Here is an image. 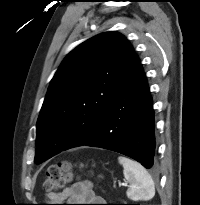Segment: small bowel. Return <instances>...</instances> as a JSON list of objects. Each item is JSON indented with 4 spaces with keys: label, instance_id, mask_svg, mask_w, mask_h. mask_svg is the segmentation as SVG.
<instances>
[{
    "label": "small bowel",
    "instance_id": "1",
    "mask_svg": "<svg viewBox=\"0 0 200 205\" xmlns=\"http://www.w3.org/2000/svg\"><path fill=\"white\" fill-rule=\"evenodd\" d=\"M47 200L51 204L47 205H63L65 201L71 203H86V204H69V205H106L104 200L97 196L88 182H77L64 190L51 193L47 196Z\"/></svg>",
    "mask_w": 200,
    "mask_h": 205
}]
</instances>
